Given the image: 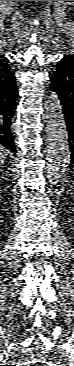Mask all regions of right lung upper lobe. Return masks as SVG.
<instances>
[{"label": "right lung upper lobe", "mask_w": 74, "mask_h": 366, "mask_svg": "<svg viewBox=\"0 0 74 366\" xmlns=\"http://www.w3.org/2000/svg\"><path fill=\"white\" fill-rule=\"evenodd\" d=\"M9 61L6 57L0 55V82H7L12 78Z\"/></svg>", "instance_id": "obj_1"}]
</instances>
